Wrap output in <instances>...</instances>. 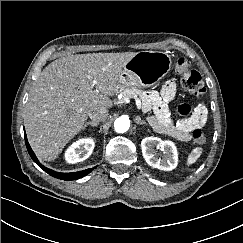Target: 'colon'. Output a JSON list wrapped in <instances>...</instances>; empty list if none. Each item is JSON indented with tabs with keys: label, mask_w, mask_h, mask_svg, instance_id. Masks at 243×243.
I'll use <instances>...</instances> for the list:
<instances>
[{
	"label": "colon",
	"mask_w": 243,
	"mask_h": 243,
	"mask_svg": "<svg viewBox=\"0 0 243 243\" xmlns=\"http://www.w3.org/2000/svg\"><path fill=\"white\" fill-rule=\"evenodd\" d=\"M174 69L177 73L182 75V85L189 92L195 95H202L205 93L206 88L199 72L191 69L190 63L186 58L178 57L174 61ZM192 113V108L189 104H181L177 108V114L181 117H188ZM191 139L198 143L204 144L206 138L203 132L195 128L191 131Z\"/></svg>",
	"instance_id": "colon-1"
}]
</instances>
